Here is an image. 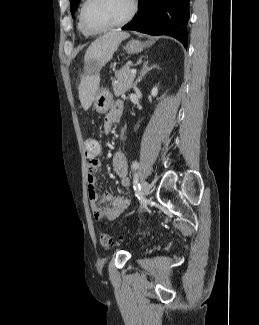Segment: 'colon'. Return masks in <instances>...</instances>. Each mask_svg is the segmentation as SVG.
<instances>
[{"label":"colon","instance_id":"5ec220e1","mask_svg":"<svg viewBox=\"0 0 259 325\" xmlns=\"http://www.w3.org/2000/svg\"><path fill=\"white\" fill-rule=\"evenodd\" d=\"M100 148V143L94 138H86L84 141V149L86 156H94L98 149ZM105 219L101 214H99V220ZM99 242L102 247L104 248H111L113 246V239L112 237L105 233H99Z\"/></svg>","mask_w":259,"mask_h":325}]
</instances>
